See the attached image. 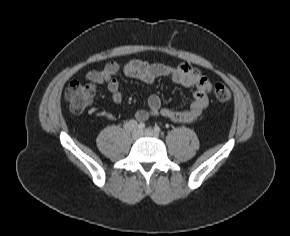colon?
I'll list each match as a JSON object with an SVG mask.
<instances>
[{
	"label": "colon",
	"instance_id": "colon-1",
	"mask_svg": "<svg viewBox=\"0 0 290 236\" xmlns=\"http://www.w3.org/2000/svg\"><path fill=\"white\" fill-rule=\"evenodd\" d=\"M95 97V88L91 84L71 82L65 90V98L69 102L70 110L74 114H81ZM214 97L219 102H226L231 98V92L224 84H216Z\"/></svg>",
	"mask_w": 290,
	"mask_h": 236
}]
</instances>
